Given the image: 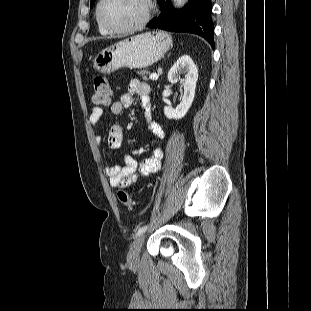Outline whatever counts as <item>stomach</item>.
Masks as SVG:
<instances>
[{"label":"stomach","mask_w":311,"mask_h":311,"mask_svg":"<svg viewBox=\"0 0 311 311\" xmlns=\"http://www.w3.org/2000/svg\"><path fill=\"white\" fill-rule=\"evenodd\" d=\"M171 46L169 34L162 31L146 32L107 47L95 57L93 67L103 74L124 67L146 68L159 61Z\"/></svg>","instance_id":"0dacf381"}]
</instances>
